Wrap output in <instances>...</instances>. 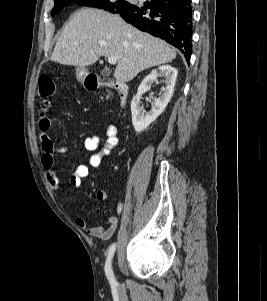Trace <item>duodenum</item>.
I'll return each mask as SVG.
<instances>
[{"label":"duodenum","instance_id":"1","mask_svg":"<svg viewBox=\"0 0 267 301\" xmlns=\"http://www.w3.org/2000/svg\"><path fill=\"white\" fill-rule=\"evenodd\" d=\"M85 86L88 90L94 91L99 89H113L118 95V104L120 108L125 107L127 96H128V86L122 81H106L100 80L91 74H87L84 77Z\"/></svg>","mask_w":267,"mask_h":301}]
</instances>
